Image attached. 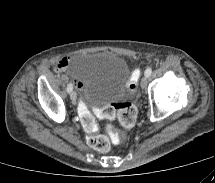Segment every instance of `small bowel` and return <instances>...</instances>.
Returning a JSON list of instances; mask_svg holds the SVG:
<instances>
[{
  "instance_id": "obj_1",
  "label": "small bowel",
  "mask_w": 215,
  "mask_h": 183,
  "mask_svg": "<svg viewBox=\"0 0 215 183\" xmlns=\"http://www.w3.org/2000/svg\"><path fill=\"white\" fill-rule=\"evenodd\" d=\"M71 59H72L71 57H64V58L60 59L55 65V70L57 72H61V71L65 70L69 66ZM134 75L137 77L139 75V70L136 69L134 71ZM75 85L78 89L83 88V83L80 80H76Z\"/></svg>"
}]
</instances>
